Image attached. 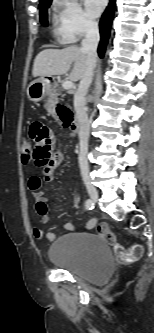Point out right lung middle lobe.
<instances>
[{
  "label": "right lung middle lobe",
  "mask_w": 154,
  "mask_h": 333,
  "mask_svg": "<svg viewBox=\"0 0 154 333\" xmlns=\"http://www.w3.org/2000/svg\"><path fill=\"white\" fill-rule=\"evenodd\" d=\"M52 0H43L39 4L40 9V21L42 25L47 26L48 20H47V8L50 6Z\"/></svg>",
  "instance_id": "1"
}]
</instances>
